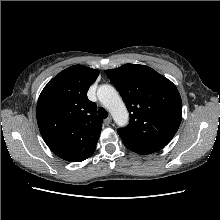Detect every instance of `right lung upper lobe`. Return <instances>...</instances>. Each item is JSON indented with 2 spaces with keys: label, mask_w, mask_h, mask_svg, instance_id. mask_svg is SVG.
I'll return each mask as SVG.
<instances>
[{
  "label": "right lung upper lobe",
  "mask_w": 220,
  "mask_h": 220,
  "mask_svg": "<svg viewBox=\"0 0 220 220\" xmlns=\"http://www.w3.org/2000/svg\"><path fill=\"white\" fill-rule=\"evenodd\" d=\"M98 75V70L71 66L50 80L39 96L40 133L51 151L66 161H84L95 151L102 120L87 91Z\"/></svg>",
  "instance_id": "right-lung-upper-lobe-1"
}]
</instances>
